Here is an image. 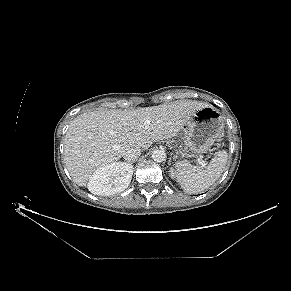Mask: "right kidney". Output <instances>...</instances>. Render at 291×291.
Wrapping results in <instances>:
<instances>
[{"instance_id":"ca27d5eb","label":"right kidney","mask_w":291,"mask_h":291,"mask_svg":"<svg viewBox=\"0 0 291 291\" xmlns=\"http://www.w3.org/2000/svg\"><path fill=\"white\" fill-rule=\"evenodd\" d=\"M133 166L113 162L97 169L89 179L88 189L94 195H111L124 191L131 182Z\"/></svg>"}]
</instances>
